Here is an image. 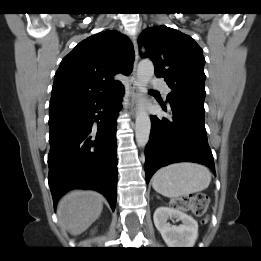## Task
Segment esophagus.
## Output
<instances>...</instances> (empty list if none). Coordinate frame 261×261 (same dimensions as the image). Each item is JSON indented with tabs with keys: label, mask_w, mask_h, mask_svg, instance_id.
<instances>
[{
	"label": "esophagus",
	"mask_w": 261,
	"mask_h": 261,
	"mask_svg": "<svg viewBox=\"0 0 261 261\" xmlns=\"http://www.w3.org/2000/svg\"><path fill=\"white\" fill-rule=\"evenodd\" d=\"M134 50H135V59L133 63V70L129 77V99H130V108L132 113L136 112L137 109V100H138V83H137V65L139 60L138 44L134 38Z\"/></svg>",
	"instance_id": "1"
}]
</instances>
